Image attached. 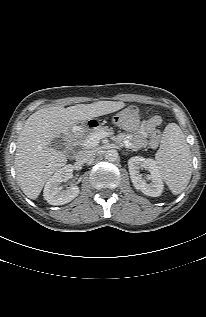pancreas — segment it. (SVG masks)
Instances as JSON below:
<instances>
[{
	"label": "pancreas",
	"mask_w": 206,
	"mask_h": 317,
	"mask_svg": "<svg viewBox=\"0 0 206 317\" xmlns=\"http://www.w3.org/2000/svg\"><path fill=\"white\" fill-rule=\"evenodd\" d=\"M115 128L110 126H100L98 127L97 129L93 128L89 131H86V130H82L81 132L78 133V138L75 140V144L76 145H83L86 140L89 138V137H96L98 134L100 135H112L115 133Z\"/></svg>",
	"instance_id": "1"
}]
</instances>
